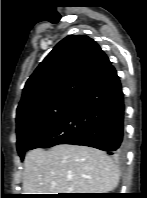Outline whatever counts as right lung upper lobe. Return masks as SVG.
<instances>
[{
    "label": "right lung upper lobe",
    "mask_w": 147,
    "mask_h": 198,
    "mask_svg": "<svg viewBox=\"0 0 147 198\" xmlns=\"http://www.w3.org/2000/svg\"><path fill=\"white\" fill-rule=\"evenodd\" d=\"M111 66L108 57L93 39L84 35L67 36L27 80L16 119L52 101H76Z\"/></svg>",
    "instance_id": "right-lung-upper-lobe-1"
}]
</instances>
